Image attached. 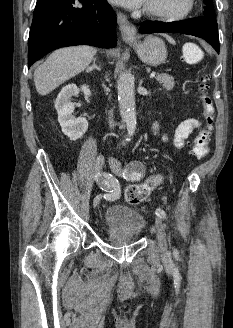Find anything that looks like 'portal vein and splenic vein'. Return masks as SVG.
Instances as JSON below:
<instances>
[{
  "instance_id": "portal-vein-and-splenic-vein-1",
  "label": "portal vein and splenic vein",
  "mask_w": 233,
  "mask_h": 328,
  "mask_svg": "<svg viewBox=\"0 0 233 328\" xmlns=\"http://www.w3.org/2000/svg\"><path fill=\"white\" fill-rule=\"evenodd\" d=\"M155 75H156V73H155V72L151 73V74H150V78H153V77H155Z\"/></svg>"
}]
</instances>
